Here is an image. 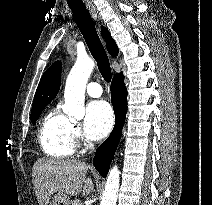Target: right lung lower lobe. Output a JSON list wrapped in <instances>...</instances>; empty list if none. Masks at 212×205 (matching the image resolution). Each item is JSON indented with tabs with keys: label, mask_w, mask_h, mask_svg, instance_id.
<instances>
[{
	"label": "right lung lower lobe",
	"mask_w": 212,
	"mask_h": 205,
	"mask_svg": "<svg viewBox=\"0 0 212 205\" xmlns=\"http://www.w3.org/2000/svg\"><path fill=\"white\" fill-rule=\"evenodd\" d=\"M122 74H117L111 83V98L115 112V126L106 141L97 149L93 164L102 177H106L119 144L127 112V89Z\"/></svg>",
	"instance_id": "1"
}]
</instances>
